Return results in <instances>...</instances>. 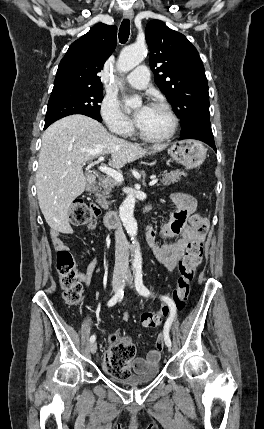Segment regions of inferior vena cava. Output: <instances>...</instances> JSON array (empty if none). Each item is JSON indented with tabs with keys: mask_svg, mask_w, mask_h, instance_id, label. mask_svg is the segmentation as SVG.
Returning <instances> with one entry per match:
<instances>
[{
	"mask_svg": "<svg viewBox=\"0 0 264 429\" xmlns=\"http://www.w3.org/2000/svg\"><path fill=\"white\" fill-rule=\"evenodd\" d=\"M117 222V228L113 230V234L116 236L114 238L116 240L115 249H118L116 250L117 257L115 261V268L119 271H126L129 264L128 255H131L132 251L130 250L131 248L127 246L129 241L126 240L124 236L123 223H121L122 221L119 219Z\"/></svg>",
	"mask_w": 264,
	"mask_h": 429,
	"instance_id": "1",
	"label": "inferior vena cava"
}]
</instances>
